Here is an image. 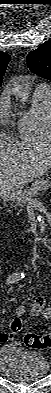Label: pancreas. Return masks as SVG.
<instances>
[{
    "mask_svg": "<svg viewBox=\"0 0 51 393\" xmlns=\"http://www.w3.org/2000/svg\"><path fill=\"white\" fill-rule=\"evenodd\" d=\"M51 186L49 179L40 178L35 180L32 185L25 190L22 194L15 197L16 206L22 207L25 203L32 199V197L38 195L40 191H46Z\"/></svg>",
    "mask_w": 51,
    "mask_h": 393,
    "instance_id": "cf45deb5",
    "label": "pancreas"
}]
</instances>
